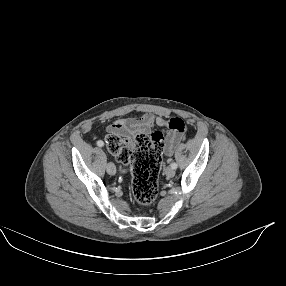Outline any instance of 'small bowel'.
Returning <instances> with one entry per match:
<instances>
[{
    "instance_id": "obj_1",
    "label": "small bowel",
    "mask_w": 286,
    "mask_h": 286,
    "mask_svg": "<svg viewBox=\"0 0 286 286\" xmlns=\"http://www.w3.org/2000/svg\"><path fill=\"white\" fill-rule=\"evenodd\" d=\"M179 120L175 116L144 113L139 117L117 119L107 127V132L109 135L116 134L132 141L138 135L151 134L155 128H164L166 134L164 152L171 155L184 137L185 131H182L177 124Z\"/></svg>"
}]
</instances>
